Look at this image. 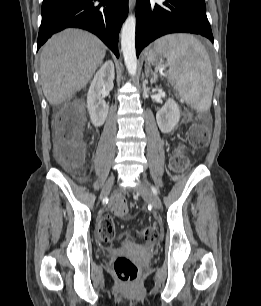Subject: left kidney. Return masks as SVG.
Returning <instances> with one entry per match:
<instances>
[{
    "instance_id": "obj_1",
    "label": "left kidney",
    "mask_w": 261,
    "mask_h": 306,
    "mask_svg": "<svg viewBox=\"0 0 261 306\" xmlns=\"http://www.w3.org/2000/svg\"><path fill=\"white\" fill-rule=\"evenodd\" d=\"M156 120L162 133H170L180 120V110L177 103L169 98L157 112Z\"/></svg>"
}]
</instances>
